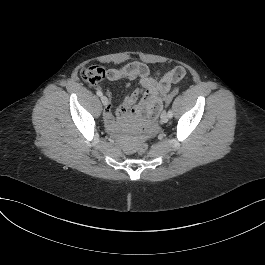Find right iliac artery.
Here are the masks:
<instances>
[{
	"instance_id": "obj_1",
	"label": "right iliac artery",
	"mask_w": 265,
	"mask_h": 265,
	"mask_svg": "<svg viewBox=\"0 0 265 265\" xmlns=\"http://www.w3.org/2000/svg\"><path fill=\"white\" fill-rule=\"evenodd\" d=\"M96 93H97V95L100 96V97L103 96V93H102L101 91H97Z\"/></svg>"
}]
</instances>
